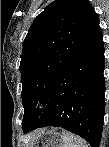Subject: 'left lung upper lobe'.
<instances>
[{
	"label": "left lung upper lobe",
	"instance_id": "obj_1",
	"mask_svg": "<svg viewBox=\"0 0 109 147\" xmlns=\"http://www.w3.org/2000/svg\"><path fill=\"white\" fill-rule=\"evenodd\" d=\"M98 27V15L87 0H56L35 18L20 62L23 129L40 117L37 101L47 103L62 68Z\"/></svg>",
	"mask_w": 109,
	"mask_h": 147
}]
</instances>
